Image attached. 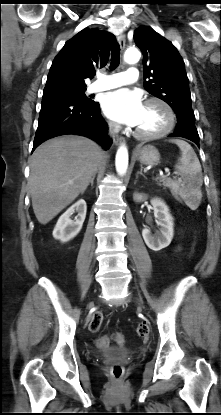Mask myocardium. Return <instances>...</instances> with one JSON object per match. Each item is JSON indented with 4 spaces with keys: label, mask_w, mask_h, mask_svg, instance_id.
I'll return each mask as SVG.
<instances>
[{
    "label": "myocardium",
    "mask_w": 221,
    "mask_h": 415,
    "mask_svg": "<svg viewBox=\"0 0 221 415\" xmlns=\"http://www.w3.org/2000/svg\"><path fill=\"white\" fill-rule=\"evenodd\" d=\"M151 103L160 104L165 109L167 113L168 121H167L166 126L162 130L155 132V133H143L135 129L134 130L135 136L140 139H144V140H154V139L162 138L168 135L174 129L175 124H176V115H175L174 109L167 101H165L164 99L158 98V97H151L145 101V104H151Z\"/></svg>",
    "instance_id": "1"
}]
</instances>
